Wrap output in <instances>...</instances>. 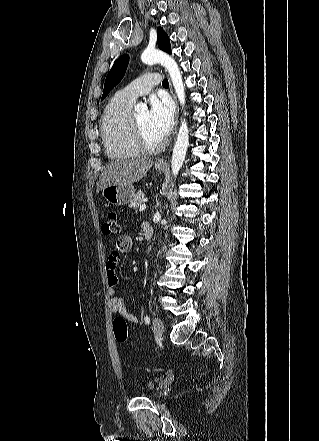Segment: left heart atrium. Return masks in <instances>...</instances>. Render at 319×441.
<instances>
[{"mask_svg":"<svg viewBox=\"0 0 319 441\" xmlns=\"http://www.w3.org/2000/svg\"><path fill=\"white\" fill-rule=\"evenodd\" d=\"M148 117L151 129L158 138L164 139L170 134L173 127V109L167 99L153 98L150 101Z\"/></svg>","mask_w":319,"mask_h":441,"instance_id":"left-heart-atrium-1","label":"left heart atrium"}]
</instances>
